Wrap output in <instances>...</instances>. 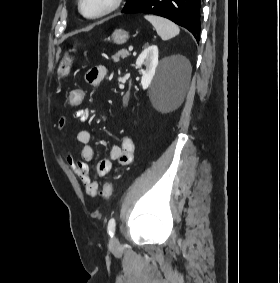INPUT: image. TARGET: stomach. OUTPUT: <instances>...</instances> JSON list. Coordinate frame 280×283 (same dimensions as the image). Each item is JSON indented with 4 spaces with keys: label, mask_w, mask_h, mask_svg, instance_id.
<instances>
[{
    "label": "stomach",
    "mask_w": 280,
    "mask_h": 283,
    "mask_svg": "<svg viewBox=\"0 0 280 283\" xmlns=\"http://www.w3.org/2000/svg\"><path fill=\"white\" fill-rule=\"evenodd\" d=\"M111 39L115 44H124L129 39V33L123 29H115ZM72 65V58L70 57L69 53H65L63 59L61 60L59 67H58V78L67 76L70 73Z\"/></svg>",
    "instance_id": "1"
}]
</instances>
